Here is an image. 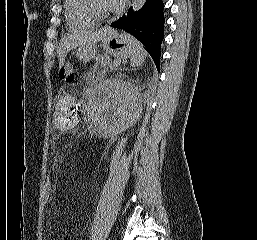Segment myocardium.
<instances>
[{"mask_svg":"<svg viewBox=\"0 0 257 240\" xmlns=\"http://www.w3.org/2000/svg\"><path fill=\"white\" fill-rule=\"evenodd\" d=\"M83 9L85 12L97 22L106 20L111 17L112 13L109 12H101L95 6V0H82Z\"/></svg>","mask_w":257,"mask_h":240,"instance_id":"myocardium-1","label":"myocardium"}]
</instances>
